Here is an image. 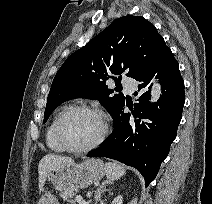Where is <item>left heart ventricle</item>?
I'll use <instances>...</instances> for the list:
<instances>
[{
    "label": "left heart ventricle",
    "instance_id": "obj_1",
    "mask_svg": "<svg viewBox=\"0 0 212 204\" xmlns=\"http://www.w3.org/2000/svg\"><path fill=\"white\" fill-rule=\"evenodd\" d=\"M101 131L97 115L86 111H74L63 120L61 132L65 141L72 147H84L92 143Z\"/></svg>",
    "mask_w": 212,
    "mask_h": 204
}]
</instances>
